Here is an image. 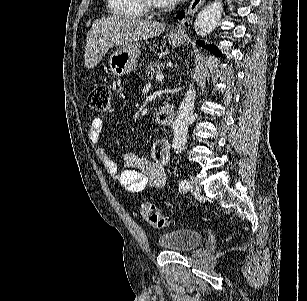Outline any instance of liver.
Segmentation results:
<instances>
[{
	"instance_id": "6515ba94",
	"label": "liver",
	"mask_w": 307,
	"mask_h": 301,
	"mask_svg": "<svg viewBox=\"0 0 307 301\" xmlns=\"http://www.w3.org/2000/svg\"><path fill=\"white\" fill-rule=\"evenodd\" d=\"M165 30V24L154 20H143L133 16H102L94 20L86 36V68H94L105 52L112 46L129 44L135 40H145L159 36Z\"/></svg>"
}]
</instances>
